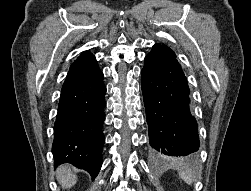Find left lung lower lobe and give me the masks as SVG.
<instances>
[{"mask_svg": "<svg viewBox=\"0 0 251 191\" xmlns=\"http://www.w3.org/2000/svg\"><path fill=\"white\" fill-rule=\"evenodd\" d=\"M149 143L155 156L185 157L199 149L186 76L173 55L152 48L141 71Z\"/></svg>", "mask_w": 251, "mask_h": 191, "instance_id": "left-lung-lower-lobe-1", "label": "left lung lower lobe"}]
</instances>
